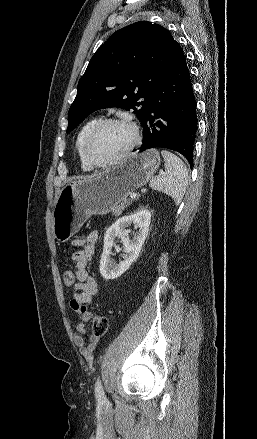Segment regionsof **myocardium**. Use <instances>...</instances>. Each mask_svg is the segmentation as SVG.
Returning <instances> with one entry per match:
<instances>
[{"label":"myocardium","mask_w":257,"mask_h":439,"mask_svg":"<svg viewBox=\"0 0 257 439\" xmlns=\"http://www.w3.org/2000/svg\"><path fill=\"white\" fill-rule=\"evenodd\" d=\"M113 124L123 125L130 128L133 135L132 140L130 144L113 159L105 162L97 161L91 154V144L101 129H103L107 125H113ZM140 140H141L140 130L133 121L126 118H105L99 120L87 134L84 141V155L92 167L104 169L126 158L139 145Z\"/></svg>","instance_id":"obj_1"}]
</instances>
